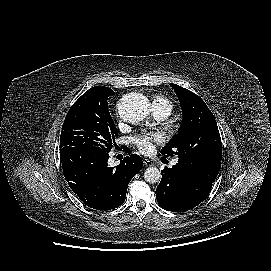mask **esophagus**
I'll list each match as a JSON object with an SVG mask.
<instances>
[{"label":"esophagus","mask_w":271,"mask_h":271,"mask_svg":"<svg viewBox=\"0 0 271 271\" xmlns=\"http://www.w3.org/2000/svg\"><path fill=\"white\" fill-rule=\"evenodd\" d=\"M143 163L146 166H153L154 165L153 162L149 159H143Z\"/></svg>","instance_id":"1"}]
</instances>
